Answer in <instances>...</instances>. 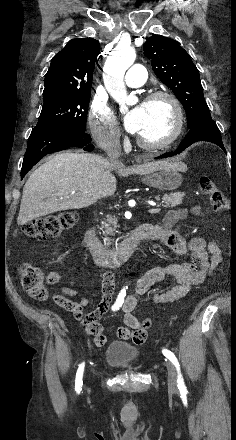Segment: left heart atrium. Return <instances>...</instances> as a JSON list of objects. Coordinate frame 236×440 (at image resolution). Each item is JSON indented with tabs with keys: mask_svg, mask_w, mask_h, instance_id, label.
<instances>
[{
	"mask_svg": "<svg viewBox=\"0 0 236 440\" xmlns=\"http://www.w3.org/2000/svg\"><path fill=\"white\" fill-rule=\"evenodd\" d=\"M146 114L144 104L134 107L125 117L126 129L131 134H138L144 123Z\"/></svg>",
	"mask_w": 236,
	"mask_h": 440,
	"instance_id": "obj_1",
	"label": "left heart atrium"
}]
</instances>
